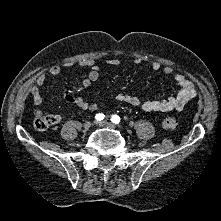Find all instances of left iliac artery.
<instances>
[{"label":"left iliac artery","instance_id":"1","mask_svg":"<svg viewBox=\"0 0 221 221\" xmlns=\"http://www.w3.org/2000/svg\"><path fill=\"white\" fill-rule=\"evenodd\" d=\"M111 121L115 124H118L120 122V117L118 115H112Z\"/></svg>","mask_w":221,"mask_h":221}]
</instances>
